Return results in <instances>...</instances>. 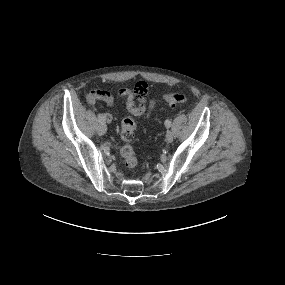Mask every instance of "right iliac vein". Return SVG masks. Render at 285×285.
Masks as SVG:
<instances>
[{"instance_id":"63e3f726","label":"right iliac vein","mask_w":285,"mask_h":285,"mask_svg":"<svg viewBox=\"0 0 285 285\" xmlns=\"http://www.w3.org/2000/svg\"><path fill=\"white\" fill-rule=\"evenodd\" d=\"M106 125L104 123H100L98 128H97V132L99 135H104L106 133Z\"/></svg>"}]
</instances>
